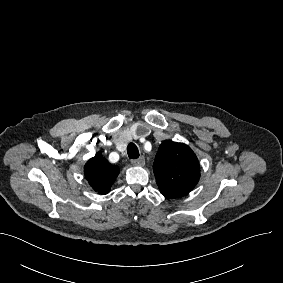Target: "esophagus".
I'll list each match as a JSON object with an SVG mask.
<instances>
[{"mask_svg": "<svg viewBox=\"0 0 283 283\" xmlns=\"http://www.w3.org/2000/svg\"><path fill=\"white\" fill-rule=\"evenodd\" d=\"M131 163H132V165L138 166V167L144 166L145 165V158L142 156V157H139L137 159H133L131 161Z\"/></svg>", "mask_w": 283, "mask_h": 283, "instance_id": "esophagus-1", "label": "esophagus"}]
</instances>
